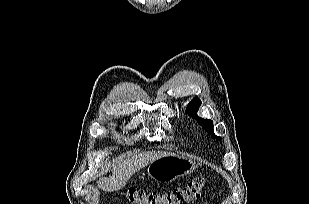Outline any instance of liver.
Instances as JSON below:
<instances>
[{"label": "liver", "mask_w": 309, "mask_h": 204, "mask_svg": "<svg viewBox=\"0 0 309 204\" xmlns=\"http://www.w3.org/2000/svg\"><path fill=\"white\" fill-rule=\"evenodd\" d=\"M171 155L166 152H146L132 157L114 167L113 174L109 178L99 181V186L107 191H117L125 187L132 175L163 156Z\"/></svg>", "instance_id": "obj_1"}]
</instances>
